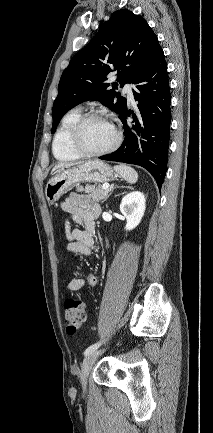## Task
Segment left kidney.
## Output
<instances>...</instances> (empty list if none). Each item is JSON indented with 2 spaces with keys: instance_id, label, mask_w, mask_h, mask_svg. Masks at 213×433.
I'll use <instances>...</instances> for the list:
<instances>
[{
  "instance_id": "obj_1",
  "label": "left kidney",
  "mask_w": 213,
  "mask_h": 433,
  "mask_svg": "<svg viewBox=\"0 0 213 433\" xmlns=\"http://www.w3.org/2000/svg\"><path fill=\"white\" fill-rule=\"evenodd\" d=\"M146 199L143 193L134 191L127 194L120 204V211L127 223L125 230H132L139 225L144 216Z\"/></svg>"
}]
</instances>
